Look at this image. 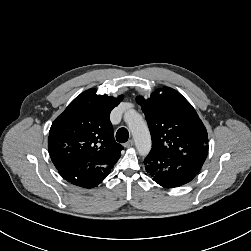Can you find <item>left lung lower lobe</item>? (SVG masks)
<instances>
[{"label":"left lung lower lobe","instance_id":"1","mask_svg":"<svg viewBox=\"0 0 251 251\" xmlns=\"http://www.w3.org/2000/svg\"><path fill=\"white\" fill-rule=\"evenodd\" d=\"M145 169L153 180L165 188H174L191 181L203 163L188 158L167 157L150 152L144 160Z\"/></svg>","mask_w":251,"mask_h":251}]
</instances>
